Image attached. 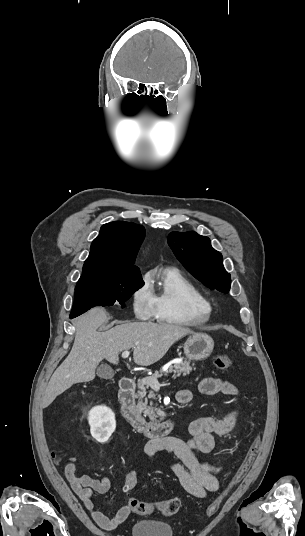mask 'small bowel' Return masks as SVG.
Wrapping results in <instances>:
<instances>
[{"label":"small bowel","instance_id":"small-bowel-1","mask_svg":"<svg viewBox=\"0 0 305 536\" xmlns=\"http://www.w3.org/2000/svg\"><path fill=\"white\" fill-rule=\"evenodd\" d=\"M199 391L206 395L221 393L236 396L238 394V389L232 383L217 377L204 378L199 384ZM192 398L193 392L190 390H182L177 394V399L181 403H188ZM236 414V411H232L222 419L197 418L188 426L190 434L188 440L177 437L151 440L145 446V453L150 457L159 451L173 453L180 462H171L170 469L180 485L190 495L203 499L208 493L216 492L219 489L218 474L221 467L202 460L198 452L206 454L215 452L214 435L227 433L233 426ZM64 473L72 490L83 502L100 528L113 530L130 516L132 508L129 503L121 506L113 518H109L99 509L94 493L105 494L110 490L111 480L109 477L104 476L96 479L89 475H79L74 462L66 464ZM124 491L127 492L125 489Z\"/></svg>","mask_w":305,"mask_h":536}]
</instances>
